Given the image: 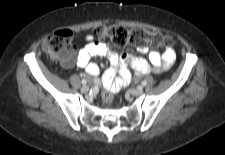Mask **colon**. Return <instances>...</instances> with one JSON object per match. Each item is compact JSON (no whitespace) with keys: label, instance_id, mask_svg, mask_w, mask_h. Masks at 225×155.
<instances>
[{"label":"colon","instance_id":"1","mask_svg":"<svg viewBox=\"0 0 225 155\" xmlns=\"http://www.w3.org/2000/svg\"><path fill=\"white\" fill-rule=\"evenodd\" d=\"M94 33L99 39H109L119 47L128 44L138 47L151 44L167 49L173 45V39L170 36L147 29H129L118 24L98 26L94 30ZM72 35L70 30L63 29L56 31L44 41L43 48L53 59H60L63 62H73L74 46L71 42ZM101 97L104 104H111L113 101L111 88H104Z\"/></svg>","mask_w":225,"mask_h":155}]
</instances>
